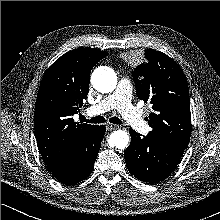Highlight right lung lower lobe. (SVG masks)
<instances>
[{"label":"right lung lower lobe","mask_w":220,"mask_h":220,"mask_svg":"<svg viewBox=\"0 0 220 220\" xmlns=\"http://www.w3.org/2000/svg\"><path fill=\"white\" fill-rule=\"evenodd\" d=\"M105 131L104 125L96 126L67 160L59 168L51 171L52 175L66 185L84 180L93 170Z\"/></svg>","instance_id":"right-lung-lower-lobe-1"}]
</instances>
